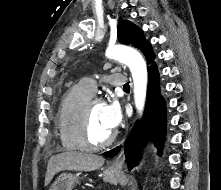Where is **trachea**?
<instances>
[{"label": "trachea", "instance_id": "1", "mask_svg": "<svg viewBox=\"0 0 221 190\" xmlns=\"http://www.w3.org/2000/svg\"><path fill=\"white\" fill-rule=\"evenodd\" d=\"M123 89H125V90H129V89H130L129 84H128V83H127V84H125V85H124V87H123Z\"/></svg>", "mask_w": 221, "mask_h": 190}]
</instances>
